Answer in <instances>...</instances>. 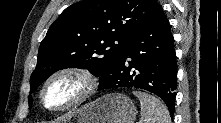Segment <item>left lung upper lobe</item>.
I'll return each mask as SVG.
<instances>
[{
    "mask_svg": "<svg viewBox=\"0 0 221 123\" xmlns=\"http://www.w3.org/2000/svg\"><path fill=\"white\" fill-rule=\"evenodd\" d=\"M157 5L156 0H84L66 8L40 44L30 93L60 69L86 68L97 77L108 74Z\"/></svg>",
    "mask_w": 221,
    "mask_h": 123,
    "instance_id": "1",
    "label": "left lung upper lobe"
}]
</instances>
